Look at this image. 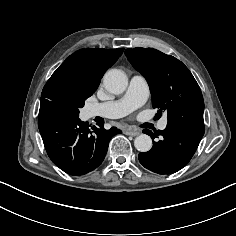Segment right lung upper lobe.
Listing matches in <instances>:
<instances>
[{
	"mask_svg": "<svg viewBox=\"0 0 236 236\" xmlns=\"http://www.w3.org/2000/svg\"><path fill=\"white\" fill-rule=\"evenodd\" d=\"M123 50V48L78 50L61 64L48 82L59 76H67L95 91L105 71L117 61Z\"/></svg>",
	"mask_w": 236,
	"mask_h": 236,
	"instance_id": "cb5924a9",
	"label": "right lung upper lobe"
}]
</instances>
